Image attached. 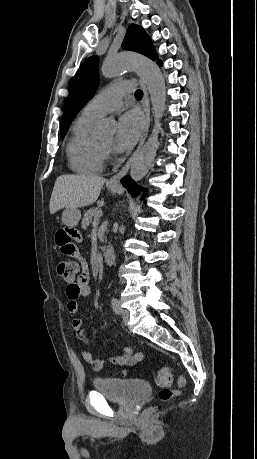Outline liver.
<instances>
[{
	"label": "liver",
	"mask_w": 257,
	"mask_h": 459,
	"mask_svg": "<svg viewBox=\"0 0 257 459\" xmlns=\"http://www.w3.org/2000/svg\"><path fill=\"white\" fill-rule=\"evenodd\" d=\"M96 175H61L54 184L50 199V213L63 208L85 207L96 202L105 183Z\"/></svg>",
	"instance_id": "liver-1"
}]
</instances>
